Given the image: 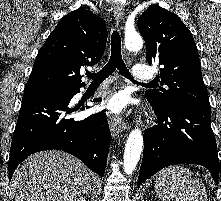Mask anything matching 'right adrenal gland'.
<instances>
[{
	"mask_svg": "<svg viewBox=\"0 0 221 201\" xmlns=\"http://www.w3.org/2000/svg\"><path fill=\"white\" fill-rule=\"evenodd\" d=\"M90 193H91V187L84 194L90 195Z\"/></svg>",
	"mask_w": 221,
	"mask_h": 201,
	"instance_id": "obj_1",
	"label": "right adrenal gland"
}]
</instances>
